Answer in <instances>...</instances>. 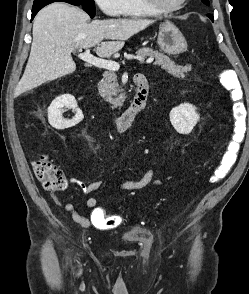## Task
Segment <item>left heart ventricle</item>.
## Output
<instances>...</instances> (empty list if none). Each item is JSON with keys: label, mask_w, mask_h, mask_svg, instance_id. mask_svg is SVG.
I'll return each mask as SVG.
<instances>
[{"label": "left heart ventricle", "mask_w": 249, "mask_h": 294, "mask_svg": "<svg viewBox=\"0 0 249 294\" xmlns=\"http://www.w3.org/2000/svg\"><path fill=\"white\" fill-rule=\"evenodd\" d=\"M161 7H173L178 5L182 0H156Z\"/></svg>", "instance_id": "left-heart-ventricle-1"}]
</instances>
